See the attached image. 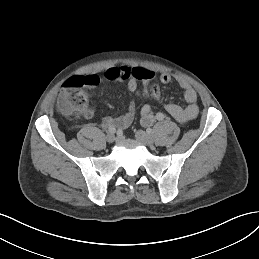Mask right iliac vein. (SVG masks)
Here are the masks:
<instances>
[{
    "label": "right iliac vein",
    "instance_id": "1",
    "mask_svg": "<svg viewBox=\"0 0 259 259\" xmlns=\"http://www.w3.org/2000/svg\"><path fill=\"white\" fill-rule=\"evenodd\" d=\"M114 140H115L114 134L108 133L107 136H106V141H107L108 143H112V142H114Z\"/></svg>",
    "mask_w": 259,
    "mask_h": 259
}]
</instances>
